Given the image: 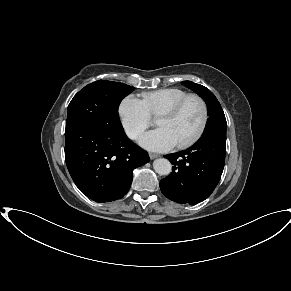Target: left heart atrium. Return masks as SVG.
Returning <instances> with one entry per match:
<instances>
[{
    "label": "left heart atrium",
    "instance_id": "left-heart-atrium-1",
    "mask_svg": "<svg viewBox=\"0 0 291 291\" xmlns=\"http://www.w3.org/2000/svg\"><path fill=\"white\" fill-rule=\"evenodd\" d=\"M140 144L151 151H168L176 146L175 141L163 128H157L146 133L141 139Z\"/></svg>",
    "mask_w": 291,
    "mask_h": 291
}]
</instances>
